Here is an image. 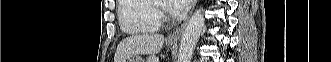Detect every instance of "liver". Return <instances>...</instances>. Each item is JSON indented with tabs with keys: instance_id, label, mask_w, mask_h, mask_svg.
I'll use <instances>...</instances> for the list:
<instances>
[{
	"instance_id": "6515ba94",
	"label": "liver",
	"mask_w": 331,
	"mask_h": 62,
	"mask_svg": "<svg viewBox=\"0 0 331 62\" xmlns=\"http://www.w3.org/2000/svg\"><path fill=\"white\" fill-rule=\"evenodd\" d=\"M164 36L160 34H143L125 38L117 47L114 62H126L133 55H153L161 51Z\"/></svg>"
}]
</instances>
